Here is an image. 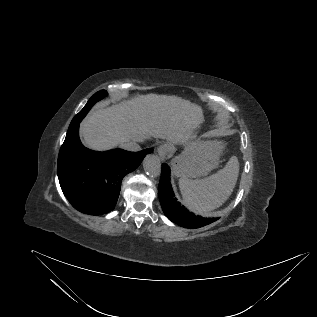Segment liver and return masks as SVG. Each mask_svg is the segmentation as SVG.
<instances>
[{
    "label": "liver",
    "mask_w": 317,
    "mask_h": 317,
    "mask_svg": "<svg viewBox=\"0 0 317 317\" xmlns=\"http://www.w3.org/2000/svg\"><path fill=\"white\" fill-rule=\"evenodd\" d=\"M202 121V108L188 100L147 94L92 110L81 122L80 134L97 151L151 137L187 144Z\"/></svg>",
    "instance_id": "6515ba94"
}]
</instances>
